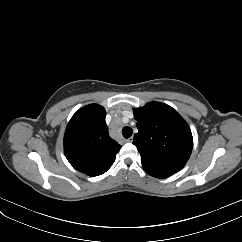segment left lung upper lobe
Wrapping results in <instances>:
<instances>
[{"instance_id":"obj_1","label":"left lung upper lobe","mask_w":242,"mask_h":242,"mask_svg":"<svg viewBox=\"0 0 242 242\" xmlns=\"http://www.w3.org/2000/svg\"><path fill=\"white\" fill-rule=\"evenodd\" d=\"M138 133L133 144L141 155L144 170L151 176L167 178L181 170L193 148L191 130L169 105L152 101L134 109Z\"/></svg>"}]
</instances>
